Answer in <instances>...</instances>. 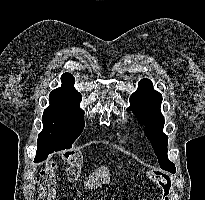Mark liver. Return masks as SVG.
<instances>
[{
    "label": "liver",
    "instance_id": "obj_1",
    "mask_svg": "<svg viewBox=\"0 0 205 200\" xmlns=\"http://www.w3.org/2000/svg\"><path fill=\"white\" fill-rule=\"evenodd\" d=\"M110 174L107 166L97 168L84 182L85 188L96 189L103 184H109Z\"/></svg>",
    "mask_w": 205,
    "mask_h": 200
}]
</instances>
